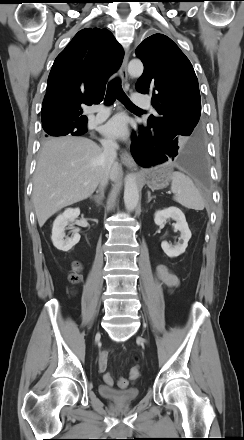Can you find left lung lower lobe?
Segmentation results:
<instances>
[{"label":"left lung lower lobe","mask_w":244,"mask_h":440,"mask_svg":"<svg viewBox=\"0 0 244 440\" xmlns=\"http://www.w3.org/2000/svg\"><path fill=\"white\" fill-rule=\"evenodd\" d=\"M131 153L135 161L143 167L172 160L179 167L200 179L206 176L203 136L194 138L188 144L181 146L178 141L168 138L157 125L147 124L133 132Z\"/></svg>","instance_id":"obj_1"}]
</instances>
